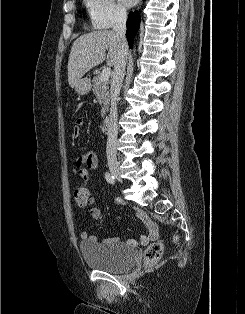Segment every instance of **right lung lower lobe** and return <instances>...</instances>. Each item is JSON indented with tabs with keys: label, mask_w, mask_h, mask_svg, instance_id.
Wrapping results in <instances>:
<instances>
[{
	"label": "right lung lower lobe",
	"mask_w": 245,
	"mask_h": 314,
	"mask_svg": "<svg viewBox=\"0 0 245 314\" xmlns=\"http://www.w3.org/2000/svg\"><path fill=\"white\" fill-rule=\"evenodd\" d=\"M139 24H140L139 13L137 11L130 12L128 20H127V24H126L127 25L126 37H127L130 47H132L133 45V40L139 28Z\"/></svg>",
	"instance_id": "98d812e1"
}]
</instances>
